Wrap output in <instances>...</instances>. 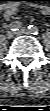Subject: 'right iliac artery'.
<instances>
[{
    "instance_id": "right-iliac-artery-1",
    "label": "right iliac artery",
    "mask_w": 50,
    "mask_h": 111,
    "mask_svg": "<svg viewBox=\"0 0 50 111\" xmlns=\"http://www.w3.org/2000/svg\"><path fill=\"white\" fill-rule=\"evenodd\" d=\"M21 23L19 21H14L12 23L9 24V29L11 31H16L19 30V28L21 27Z\"/></svg>"
}]
</instances>
